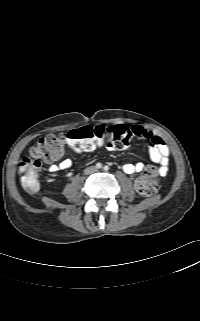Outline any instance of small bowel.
I'll list each match as a JSON object with an SVG mask.
<instances>
[{"label": "small bowel", "instance_id": "1", "mask_svg": "<svg viewBox=\"0 0 200 321\" xmlns=\"http://www.w3.org/2000/svg\"><path fill=\"white\" fill-rule=\"evenodd\" d=\"M134 132V137L138 139H148L151 144L149 147V157L150 160L159 165L158 171L161 176H165L168 172L169 163V148L164 140L153 133L151 130L145 129L139 125H134L131 127ZM107 146L110 149L116 148L112 141H107ZM63 151L60 155L49 161V172L56 173L60 170H67L72 166V161L69 158L61 159ZM61 159V160H60ZM60 160L58 163H56ZM145 169V164L143 162L136 163H126L123 165V171L127 174L140 173Z\"/></svg>", "mask_w": 200, "mask_h": 321}]
</instances>
